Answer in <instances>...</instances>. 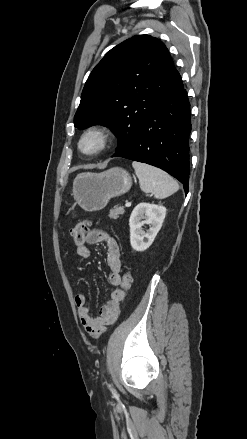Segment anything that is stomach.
Here are the masks:
<instances>
[{
	"mask_svg": "<svg viewBox=\"0 0 247 439\" xmlns=\"http://www.w3.org/2000/svg\"><path fill=\"white\" fill-rule=\"evenodd\" d=\"M132 186L130 174L123 168L113 167L102 173H82L73 182V197L86 211L103 209L111 198L127 193Z\"/></svg>",
	"mask_w": 247,
	"mask_h": 439,
	"instance_id": "stomach-1",
	"label": "stomach"
}]
</instances>
